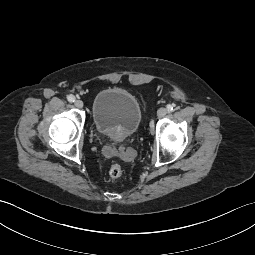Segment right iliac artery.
I'll return each instance as SVG.
<instances>
[{"instance_id": "1", "label": "right iliac artery", "mask_w": 255, "mask_h": 255, "mask_svg": "<svg viewBox=\"0 0 255 255\" xmlns=\"http://www.w3.org/2000/svg\"><path fill=\"white\" fill-rule=\"evenodd\" d=\"M67 99H68V101H69L70 103H73V102L75 101V97L72 96V95L68 96Z\"/></svg>"}]
</instances>
